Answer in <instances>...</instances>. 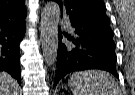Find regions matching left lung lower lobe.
Instances as JSON below:
<instances>
[{
  "mask_svg": "<svg viewBox=\"0 0 135 95\" xmlns=\"http://www.w3.org/2000/svg\"><path fill=\"white\" fill-rule=\"evenodd\" d=\"M70 36L59 28V44L57 54V72L54 85L70 72L88 69H101L111 72L116 78V54L113 34L98 32H77ZM65 35L70 44L61 39Z\"/></svg>",
  "mask_w": 135,
  "mask_h": 95,
  "instance_id": "left-lung-lower-lobe-1",
  "label": "left lung lower lobe"
}]
</instances>
